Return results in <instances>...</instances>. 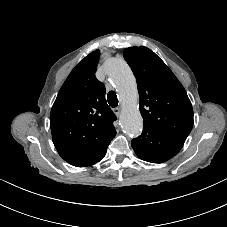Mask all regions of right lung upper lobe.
Returning <instances> with one entry per match:
<instances>
[{"mask_svg": "<svg viewBox=\"0 0 227 227\" xmlns=\"http://www.w3.org/2000/svg\"><path fill=\"white\" fill-rule=\"evenodd\" d=\"M99 50L82 59L61 87L50 113L52 140L69 164L100 161L115 137L116 116L105 100V87L95 77Z\"/></svg>", "mask_w": 227, "mask_h": 227, "instance_id": "cb5924a9", "label": "right lung upper lobe"}]
</instances>
